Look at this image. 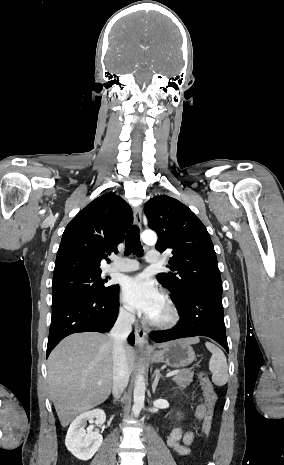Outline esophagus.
Wrapping results in <instances>:
<instances>
[{"instance_id": "esophagus-1", "label": "esophagus", "mask_w": 284, "mask_h": 465, "mask_svg": "<svg viewBox=\"0 0 284 465\" xmlns=\"http://www.w3.org/2000/svg\"><path fill=\"white\" fill-rule=\"evenodd\" d=\"M134 222L138 227H141L142 223V209L141 207L134 208ZM135 342L139 348L147 347V332L140 327H135Z\"/></svg>"}]
</instances>
